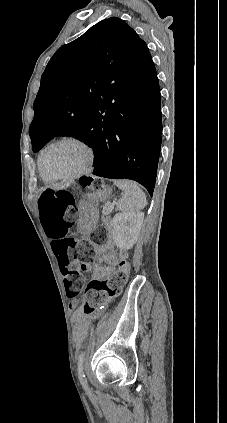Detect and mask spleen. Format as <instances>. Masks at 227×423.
Instances as JSON below:
<instances>
[{
  "mask_svg": "<svg viewBox=\"0 0 227 423\" xmlns=\"http://www.w3.org/2000/svg\"><path fill=\"white\" fill-rule=\"evenodd\" d=\"M115 186L122 190V198L117 202L120 211H140L147 204L146 196L136 182L130 180H113Z\"/></svg>",
  "mask_w": 227,
  "mask_h": 423,
  "instance_id": "3e777b00",
  "label": "spleen"
}]
</instances>
